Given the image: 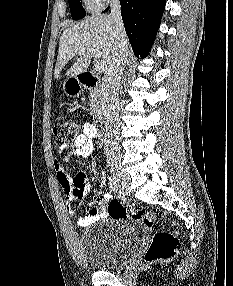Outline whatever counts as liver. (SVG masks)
I'll return each mask as SVG.
<instances>
[{
	"label": "liver",
	"mask_w": 233,
	"mask_h": 286,
	"mask_svg": "<svg viewBox=\"0 0 233 286\" xmlns=\"http://www.w3.org/2000/svg\"><path fill=\"white\" fill-rule=\"evenodd\" d=\"M82 47L98 48L107 70L115 51L114 23L111 16L92 15L63 32L60 37L58 58L54 71L56 80L60 79V72L75 55H79L80 58L67 70L66 75L76 77L87 70L92 54L88 50L82 52Z\"/></svg>",
	"instance_id": "6515ba94"
}]
</instances>
